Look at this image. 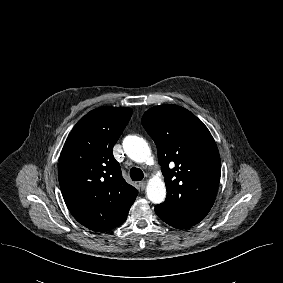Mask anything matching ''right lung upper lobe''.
<instances>
[{
    "label": "right lung upper lobe",
    "instance_id": "cb5924a9",
    "mask_svg": "<svg viewBox=\"0 0 283 283\" xmlns=\"http://www.w3.org/2000/svg\"><path fill=\"white\" fill-rule=\"evenodd\" d=\"M132 109L100 107L83 116L70 132L59 160V184L74 218L85 227L108 231L127 218L137 190L122 177L113 146Z\"/></svg>",
    "mask_w": 283,
    "mask_h": 283
}]
</instances>
